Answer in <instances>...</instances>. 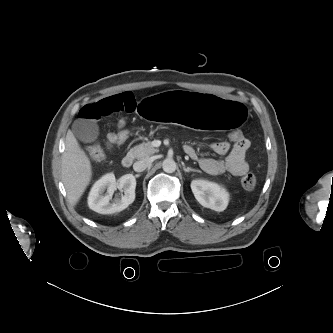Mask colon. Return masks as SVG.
Here are the masks:
<instances>
[{"label":"colon","instance_id":"1","mask_svg":"<svg viewBox=\"0 0 333 333\" xmlns=\"http://www.w3.org/2000/svg\"><path fill=\"white\" fill-rule=\"evenodd\" d=\"M131 135V131L125 126L119 127L117 133L115 134L116 137V144H123L128 140ZM228 138L232 142H238L245 138L244 134L238 130H231L228 133ZM87 153L89 157L96 162L103 161L106 157V153L104 149L100 146H91L88 148ZM242 186L247 190H252L255 188L257 179L253 173H247L241 180Z\"/></svg>","mask_w":333,"mask_h":333}]
</instances>
